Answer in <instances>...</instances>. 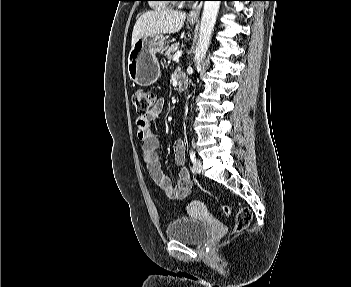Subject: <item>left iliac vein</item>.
I'll use <instances>...</instances> for the list:
<instances>
[{"label": "left iliac vein", "mask_w": 351, "mask_h": 287, "mask_svg": "<svg viewBox=\"0 0 351 287\" xmlns=\"http://www.w3.org/2000/svg\"><path fill=\"white\" fill-rule=\"evenodd\" d=\"M193 169L198 174H200L202 172V161L200 159H196L193 162Z\"/></svg>", "instance_id": "4c4485c4"}]
</instances>
